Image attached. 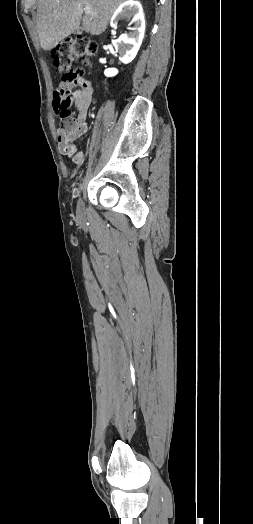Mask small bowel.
Returning a JSON list of instances; mask_svg holds the SVG:
<instances>
[{
	"mask_svg": "<svg viewBox=\"0 0 253 524\" xmlns=\"http://www.w3.org/2000/svg\"><path fill=\"white\" fill-rule=\"evenodd\" d=\"M60 85L57 87L54 93V104L56 105L62 98V92L59 90ZM93 94L84 96H75V106L78 111V127L67 135L59 133L58 144L60 152L71 158L75 164L82 163L84 159V153L77 150L74 145V140L81 136L87 130L86 116L89 106L92 102Z\"/></svg>",
	"mask_w": 253,
	"mask_h": 524,
	"instance_id": "1",
	"label": "small bowel"
}]
</instances>
